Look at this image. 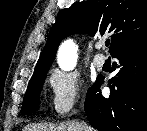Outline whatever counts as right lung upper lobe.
Listing matches in <instances>:
<instances>
[{
	"instance_id": "right-lung-upper-lobe-1",
	"label": "right lung upper lobe",
	"mask_w": 147,
	"mask_h": 131,
	"mask_svg": "<svg viewBox=\"0 0 147 131\" xmlns=\"http://www.w3.org/2000/svg\"><path fill=\"white\" fill-rule=\"evenodd\" d=\"M80 32L111 33L112 54L147 34V0H88L64 9L50 30L33 75L49 69L64 37Z\"/></svg>"
}]
</instances>
